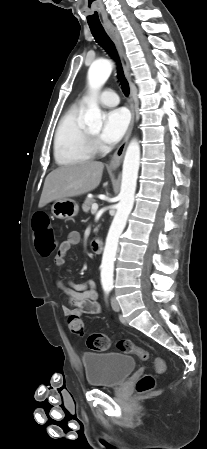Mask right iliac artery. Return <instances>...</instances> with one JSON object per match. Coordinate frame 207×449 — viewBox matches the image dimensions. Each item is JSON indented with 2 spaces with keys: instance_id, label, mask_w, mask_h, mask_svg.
Listing matches in <instances>:
<instances>
[{
  "instance_id": "obj_1",
  "label": "right iliac artery",
  "mask_w": 207,
  "mask_h": 449,
  "mask_svg": "<svg viewBox=\"0 0 207 449\" xmlns=\"http://www.w3.org/2000/svg\"><path fill=\"white\" fill-rule=\"evenodd\" d=\"M105 292L108 293V290L105 288Z\"/></svg>"
}]
</instances>
